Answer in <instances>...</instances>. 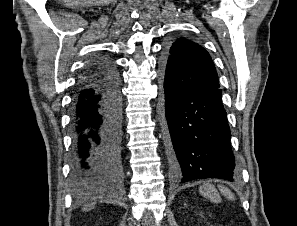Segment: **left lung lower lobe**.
<instances>
[{"instance_id":"obj_1","label":"left lung lower lobe","mask_w":297,"mask_h":226,"mask_svg":"<svg viewBox=\"0 0 297 226\" xmlns=\"http://www.w3.org/2000/svg\"><path fill=\"white\" fill-rule=\"evenodd\" d=\"M161 73L163 118L176 181H233L237 168L219 86L194 90L163 65Z\"/></svg>"}]
</instances>
